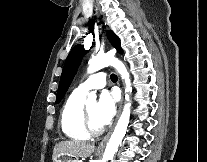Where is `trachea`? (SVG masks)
Listing matches in <instances>:
<instances>
[{"label": "trachea", "mask_w": 207, "mask_h": 162, "mask_svg": "<svg viewBox=\"0 0 207 162\" xmlns=\"http://www.w3.org/2000/svg\"><path fill=\"white\" fill-rule=\"evenodd\" d=\"M111 80H112V81H117V76H116L115 74H112V75H111Z\"/></svg>", "instance_id": "1"}]
</instances>
